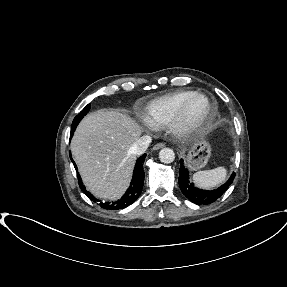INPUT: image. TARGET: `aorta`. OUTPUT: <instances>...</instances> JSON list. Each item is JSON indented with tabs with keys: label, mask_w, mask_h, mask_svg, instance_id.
<instances>
[{
	"label": "aorta",
	"mask_w": 287,
	"mask_h": 287,
	"mask_svg": "<svg viewBox=\"0 0 287 287\" xmlns=\"http://www.w3.org/2000/svg\"><path fill=\"white\" fill-rule=\"evenodd\" d=\"M159 159L163 163H171L175 159V153L171 148H163L159 152Z\"/></svg>",
	"instance_id": "aorta-1"
}]
</instances>
